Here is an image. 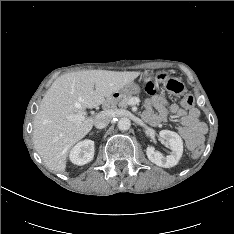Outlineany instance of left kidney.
I'll return each mask as SVG.
<instances>
[{
    "label": "left kidney",
    "instance_id": "1",
    "mask_svg": "<svg viewBox=\"0 0 234 234\" xmlns=\"http://www.w3.org/2000/svg\"><path fill=\"white\" fill-rule=\"evenodd\" d=\"M159 136L170 146L171 154L165 157L161 152L156 151L154 147L148 146L146 155L148 159L157 166L164 168L173 167L179 162L183 153L182 139L177 133L170 130L160 131Z\"/></svg>",
    "mask_w": 234,
    "mask_h": 234
}]
</instances>
